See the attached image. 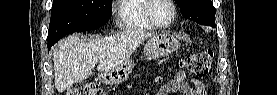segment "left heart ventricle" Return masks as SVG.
<instances>
[{"instance_id":"b2bd125f","label":"left heart ventricle","mask_w":277,"mask_h":95,"mask_svg":"<svg viewBox=\"0 0 277 95\" xmlns=\"http://www.w3.org/2000/svg\"><path fill=\"white\" fill-rule=\"evenodd\" d=\"M152 15L159 22H166L172 14V8L163 0H158L152 7Z\"/></svg>"}]
</instances>
